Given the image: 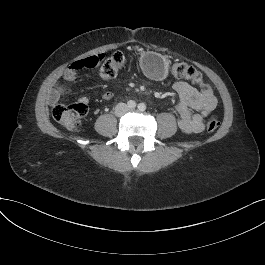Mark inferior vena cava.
I'll use <instances>...</instances> for the list:
<instances>
[{"mask_svg":"<svg viewBox=\"0 0 265 265\" xmlns=\"http://www.w3.org/2000/svg\"><path fill=\"white\" fill-rule=\"evenodd\" d=\"M129 108L125 103H118L115 107V114L117 116H122L128 112Z\"/></svg>","mask_w":265,"mask_h":265,"instance_id":"1","label":"inferior vena cava"}]
</instances>
